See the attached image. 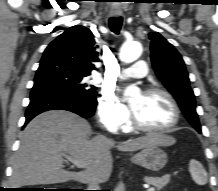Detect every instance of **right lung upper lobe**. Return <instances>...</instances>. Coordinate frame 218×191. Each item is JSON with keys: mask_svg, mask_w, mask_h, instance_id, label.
Masks as SVG:
<instances>
[{"mask_svg": "<svg viewBox=\"0 0 218 191\" xmlns=\"http://www.w3.org/2000/svg\"><path fill=\"white\" fill-rule=\"evenodd\" d=\"M92 32L80 25L67 29L45 49L42 58L62 61L79 72L89 74L99 61Z\"/></svg>", "mask_w": 218, "mask_h": 191, "instance_id": "right-lung-upper-lobe-1", "label": "right lung upper lobe"}]
</instances>
